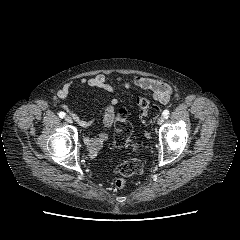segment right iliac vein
Returning a JSON list of instances; mask_svg holds the SVG:
<instances>
[{
    "mask_svg": "<svg viewBox=\"0 0 240 240\" xmlns=\"http://www.w3.org/2000/svg\"><path fill=\"white\" fill-rule=\"evenodd\" d=\"M65 120H66L68 123H72V122H73V120H72V118H71L70 116H66V117H65Z\"/></svg>",
    "mask_w": 240,
    "mask_h": 240,
    "instance_id": "1",
    "label": "right iliac vein"
}]
</instances>
